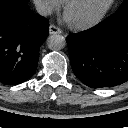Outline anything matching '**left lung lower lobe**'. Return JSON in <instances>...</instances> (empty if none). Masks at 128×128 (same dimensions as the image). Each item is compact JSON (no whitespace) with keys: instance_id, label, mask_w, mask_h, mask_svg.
I'll return each instance as SVG.
<instances>
[{"instance_id":"obj_1","label":"left lung lower lobe","mask_w":128,"mask_h":128,"mask_svg":"<svg viewBox=\"0 0 128 128\" xmlns=\"http://www.w3.org/2000/svg\"><path fill=\"white\" fill-rule=\"evenodd\" d=\"M75 76L91 88L128 81V8L95 27L67 37Z\"/></svg>"}]
</instances>
